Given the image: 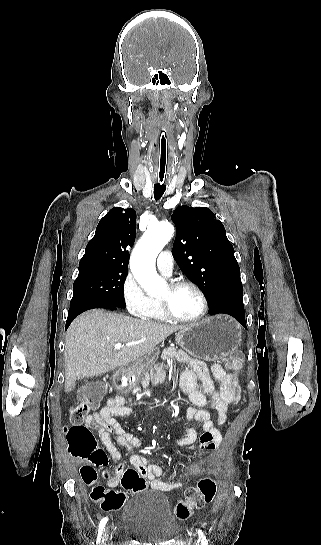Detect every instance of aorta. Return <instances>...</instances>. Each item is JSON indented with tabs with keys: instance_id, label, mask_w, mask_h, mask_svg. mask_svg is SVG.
I'll return each instance as SVG.
<instances>
[{
	"instance_id": "1",
	"label": "aorta",
	"mask_w": 321,
	"mask_h": 545,
	"mask_svg": "<svg viewBox=\"0 0 321 545\" xmlns=\"http://www.w3.org/2000/svg\"><path fill=\"white\" fill-rule=\"evenodd\" d=\"M173 233L174 228L169 222L149 225L132 252L131 271L137 282L149 294H158L165 286V281L156 272L155 262Z\"/></svg>"
}]
</instances>
